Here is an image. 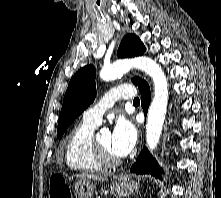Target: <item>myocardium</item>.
<instances>
[{
	"mask_svg": "<svg viewBox=\"0 0 221 198\" xmlns=\"http://www.w3.org/2000/svg\"><path fill=\"white\" fill-rule=\"evenodd\" d=\"M93 148L97 159L104 167H116L121 164V159L112 156L98 141L97 138L92 139Z\"/></svg>",
	"mask_w": 221,
	"mask_h": 198,
	"instance_id": "f54148a6",
	"label": "myocardium"
}]
</instances>
